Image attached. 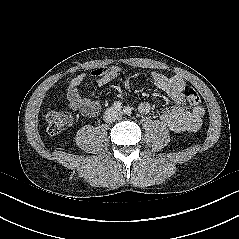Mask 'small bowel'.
Returning <instances> with one entry per match:
<instances>
[{"label": "small bowel", "mask_w": 239, "mask_h": 239, "mask_svg": "<svg viewBox=\"0 0 239 239\" xmlns=\"http://www.w3.org/2000/svg\"><path fill=\"white\" fill-rule=\"evenodd\" d=\"M121 69L117 65H110L99 68L94 71L96 82L103 86L114 80L120 74ZM86 74L74 76L67 87L66 100L68 105L83 116L94 117L101 110L98 102L91 101L80 96L79 86L82 84ZM153 84L161 91L166 93L171 99L173 105L165 109L160 114L161 121L173 132H189L198 130L202 125L205 114L204 108L200 105L189 107L183 94V88L186 85L184 79L178 75L167 76L160 72L151 74ZM151 106L148 102H141L138 105V111L141 114H148Z\"/></svg>", "instance_id": "small-bowel-1"}]
</instances>
